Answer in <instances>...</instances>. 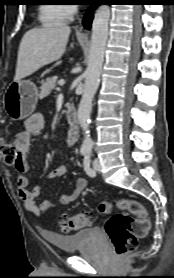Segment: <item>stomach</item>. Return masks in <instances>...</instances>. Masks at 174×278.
<instances>
[{"mask_svg": "<svg viewBox=\"0 0 174 278\" xmlns=\"http://www.w3.org/2000/svg\"><path fill=\"white\" fill-rule=\"evenodd\" d=\"M38 97V89L33 82L13 81L3 97L4 109L12 120L25 119L34 112Z\"/></svg>", "mask_w": 174, "mask_h": 278, "instance_id": "obj_1", "label": "stomach"}]
</instances>
